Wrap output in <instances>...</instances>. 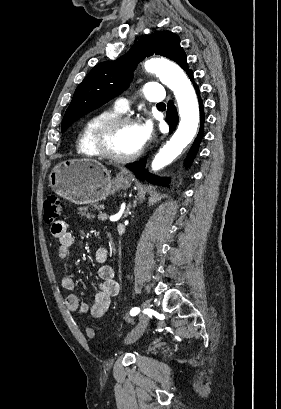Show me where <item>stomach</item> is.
I'll use <instances>...</instances> for the list:
<instances>
[{
	"label": "stomach",
	"mask_w": 281,
	"mask_h": 409,
	"mask_svg": "<svg viewBox=\"0 0 281 409\" xmlns=\"http://www.w3.org/2000/svg\"><path fill=\"white\" fill-rule=\"evenodd\" d=\"M48 180L58 196L68 198L75 205H87V202L104 200L115 190L129 188L132 176L118 172L115 178H111L106 166L98 160L72 158L58 162Z\"/></svg>",
	"instance_id": "1"
}]
</instances>
